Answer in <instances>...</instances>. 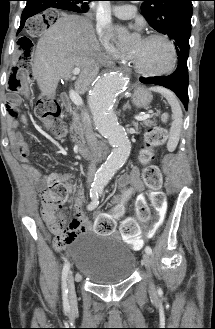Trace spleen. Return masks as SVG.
<instances>
[{"instance_id":"3e777b00","label":"spleen","mask_w":215,"mask_h":329,"mask_svg":"<svg viewBox=\"0 0 215 329\" xmlns=\"http://www.w3.org/2000/svg\"><path fill=\"white\" fill-rule=\"evenodd\" d=\"M151 91L158 92L162 96L165 97L167 102L169 103L172 111V124L170 128V139L168 141V150L170 152L174 151L177 147V144L179 142L181 130H182V124H183V119H182V110L180 107V104L178 102V99L172 93L170 90L162 88V87H151Z\"/></svg>"}]
</instances>
